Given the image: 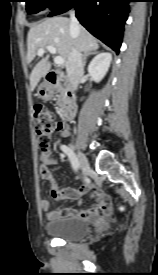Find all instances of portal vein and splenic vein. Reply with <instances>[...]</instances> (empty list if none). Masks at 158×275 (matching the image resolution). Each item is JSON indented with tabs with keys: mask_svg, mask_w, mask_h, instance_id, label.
I'll return each mask as SVG.
<instances>
[{
	"mask_svg": "<svg viewBox=\"0 0 158 275\" xmlns=\"http://www.w3.org/2000/svg\"><path fill=\"white\" fill-rule=\"evenodd\" d=\"M45 49L48 50L51 54H56V48L51 45H48L45 48L38 49L37 54L39 56H42L44 54ZM54 62L56 65L61 66L64 64V59L61 56H56L54 58Z\"/></svg>",
	"mask_w": 158,
	"mask_h": 275,
	"instance_id": "obj_1",
	"label": "portal vein and splenic vein"
}]
</instances>
